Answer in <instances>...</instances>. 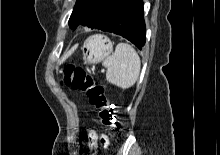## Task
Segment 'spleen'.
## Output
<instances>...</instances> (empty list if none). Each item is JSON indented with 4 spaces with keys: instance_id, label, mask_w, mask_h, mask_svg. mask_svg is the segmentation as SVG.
Returning <instances> with one entry per match:
<instances>
[{
    "instance_id": "1",
    "label": "spleen",
    "mask_w": 220,
    "mask_h": 155,
    "mask_svg": "<svg viewBox=\"0 0 220 155\" xmlns=\"http://www.w3.org/2000/svg\"><path fill=\"white\" fill-rule=\"evenodd\" d=\"M102 64L107 68V82L119 88H130L139 78L140 58L135 49L127 43H119L115 52Z\"/></svg>"
}]
</instances>
